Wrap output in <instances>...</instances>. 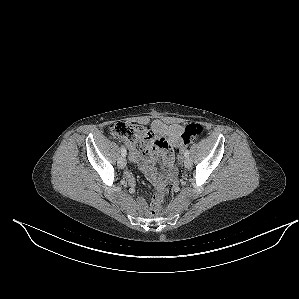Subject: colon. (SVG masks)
Wrapping results in <instances>:
<instances>
[{
    "instance_id": "5ec220e1",
    "label": "colon",
    "mask_w": 299,
    "mask_h": 299,
    "mask_svg": "<svg viewBox=\"0 0 299 299\" xmlns=\"http://www.w3.org/2000/svg\"><path fill=\"white\" fill-rule=\"evenodd\" d=\"M204 128L200 124L192 123L184 127L182 133V141L184 145L196 141L202 134ZM110 132L113 136L128 141L133 144L141 143L148 135V128L142 125L117 122L110 126ZM182 147H177L176 151L180 153ZM173 198V192L169 186H166L163 191L158 192L153 200V211L158 212L162 207L169 203Z\"/></svg>"
}]
</instances>
